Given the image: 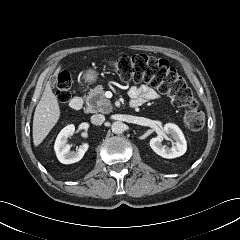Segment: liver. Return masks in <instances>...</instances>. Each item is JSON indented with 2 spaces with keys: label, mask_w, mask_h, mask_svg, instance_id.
<instances>
[{
  "label": "liver",
  "mask_w": 240,
  "mask_h": 240,
  "mask_svg": "<svg viewBox=\"0 0 240 240\" xmlns=\"http://www.w3.org/2000/svg\"><path fill=\"white\" fill-rule=\"evenodd\" d=\"M61 70L59 66L53 76ZM60 117V107L56 96L52 93L50 83L46 84L43 95L36 106L33 118V143L38 146L56 125Z\"/></svg>",
  "instance_id": "6515ba94"
}]
</instances>
